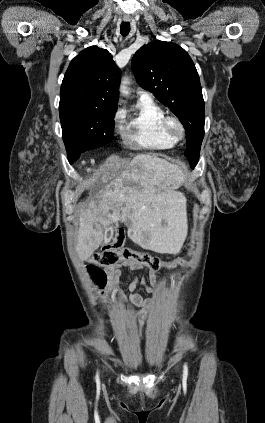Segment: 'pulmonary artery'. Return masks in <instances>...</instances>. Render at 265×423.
<instances>
[{"label": "pulmonary artery", "mask_w": 265, "mask_h": 423, "mask_svg": "<svg viewBox=\"0 0 265 423\" xmlns=\"http://www.w3.org/2000/svg\"><path fill=\"white\" fill-rule=\"evenodd\" d=\"M140 99H143V100H151L152 99V95L150 93H148V92H141Z\"/></svg>", "instance_id": "e3ab8cb5"}]
</instances>
